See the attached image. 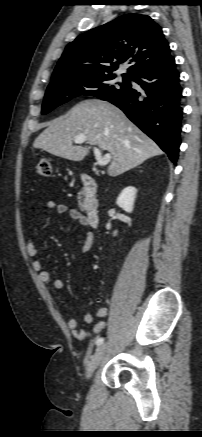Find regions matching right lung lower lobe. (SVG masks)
I'll list each match as a JSON object with an SVG mask.
<instances>
[{
	"label": "right lung lower lobe",
	"instance_id": "right-lung-lower-lobe-1",
	"mask_svg": "<svg viewBox=\"0 0 202 437\" xmlns=\"http://www.w3.org/2000/svg\"><path fill=\"white\" fill-rule=\"evenodd\" d=\"M172 56L132 78L143 89L131 87L106 101L119 107L176 163L183 125L182 87Z\"/></svg>",
	"mask_w": 202,
	"mask_h": 437
}]
</instances>
